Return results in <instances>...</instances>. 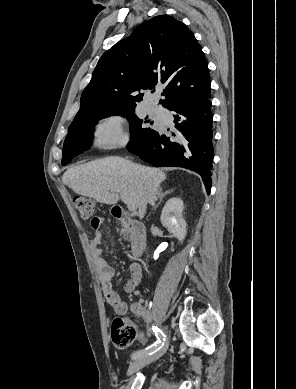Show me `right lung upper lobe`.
<instances>
[{
    "label": "right lung upper lobe",
    "mask_w": 296,
    "mask_h": 389,
    "mask_svg": "<svg viewBox=\"0 0 296 389\" xmlns=\"http://www.w3.org/2000/svg\"><path fill=\"white\" fill-rule=\"evenodd\" d=\"M158 83L166 85L160 101L168 109L210 91L201 46L184 23L168 15L139 25L102 55L76 117L91 109L136 106L144 95L140 90Z\"/></svg>",
    "instance_id": "right-lung-upper-lobe-1"
}]
</instances>
